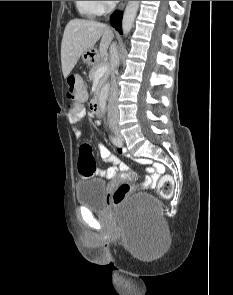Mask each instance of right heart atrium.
I'll return each instance as SVG.
<instances>
[{
    "label": "right heart atrium",
    "instance_id": "obj_1",
    "mask_svg": "<svg viewBox=\"0 0 233 295\" xmlns=\"http://www.w3.org/2000/svg\"><path fill=\"white\" fill-rule=\"evenodd\" d=\"M111 2L112 1H97L101 11H104L105 9H107L110 6Z\"/></svg>",
    "mask_w": 233,
    "mask_h": 295
}]
</instances>
